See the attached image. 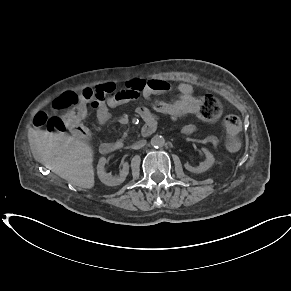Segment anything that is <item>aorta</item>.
<instances>
[{
	"label": "aorta",
	"instance_id": "1",
	"mask_svg": "<svg viewBox=\"0 0 291 291\" xmlns=\"http://www.w3.org/2000/svg\"><path fill=\"white\" fill-rule=\"evenodd\" d=\"M165 144V139L162 135L156 134L151 139V145L154 147H162Z\"/></svg>",
	"mask_w": 291,
	"mask_h": 291
}]
</instances>
